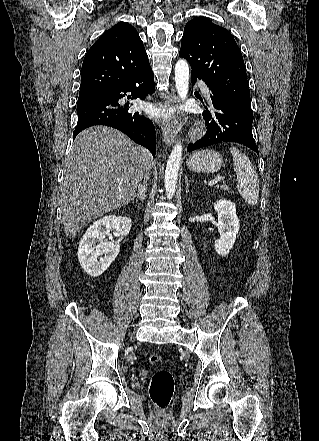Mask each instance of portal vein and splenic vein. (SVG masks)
<instances>
[{
	"instance_id": "portal-vein-and-splenic-vein-1",
	"label": "portal vein and splenic vein",
	"mask_w": 319,
	"mask_h": 441,
	"mask_svg": "<svg viewBox=\"0 0 319 441\" xmlns=\"http://www.w3.org/2000/svg\"><path fill=\"white\" fill-rule=\"evenodd\" d=\"M221 176L215 177L213 180H211L208 185L212 186L218 182L219 179H221ZM118 183H123V179H118Z\"/></svg>"
}]
</instances>
